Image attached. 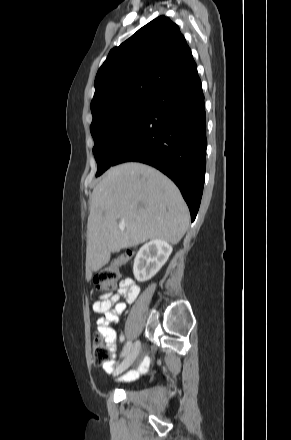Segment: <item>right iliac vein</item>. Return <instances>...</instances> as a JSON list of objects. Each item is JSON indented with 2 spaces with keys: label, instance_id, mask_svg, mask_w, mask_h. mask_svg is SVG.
I'll return each instance as SVG.
<instances>
[{
  "label": "right iliac vein",
  "instance_id": "obj_1",
  "mask_svg": "<svg viewBox=\"0 0 291 440\" xmlns=\"http://www.w3.org/2000/svg\"><path fill=\"white\" fill-rule=\"evenodd\" d=\"M141 344L139 341H136L132 348L130 349L128 355L126 358L122 361V363L116 368V374L122 373L124 370H126L129 366L133 364L135 359L137 358L139 351H140Z\"/></svg>",
  "mask_w": 291,
  "mask_h": 440
}]
</instances>
